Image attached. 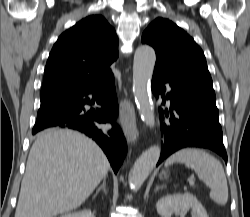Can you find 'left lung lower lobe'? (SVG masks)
<instances>
[{"instance_id": "left-lung-lower-lobe-1", "label": "left lung lower lobe", "mask_w": 250, "mask_h": 217, "mask_svg": "<svg viewBox=\"0 0 250 217\" xmlns=\"http://www.w3.org/2000/svg\"><path fill=\"white\" fill-rule=\"evenodd\" d=\"M165 84L171 87L166 95ZM151 88L156 98L162 96V104L170 100L169 109L159 108L164 141L161 142L162 150L157 165L174 152L187 147L213 150L227 163L212 84L171 79L154 72Z\"/></svg>"}]
</instances>
